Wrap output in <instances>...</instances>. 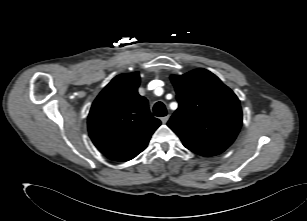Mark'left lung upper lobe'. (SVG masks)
<instances>
[{"label":"left lung upper lobe","mask_w":307,"mask_h":221,"mask_svg":"<svg viewBox=\"0 0 307 221\" xmlns=\"http://www.w3.org/2000/svg\"><path fill=\"white\" fill-rule=\"evenodd\" d=\"M179 107L167 125L190 150L220 154L235 140L242 125L237 96L206 69L172 75Z\"/></svg>","instance_id":"1"}]
</instances>
